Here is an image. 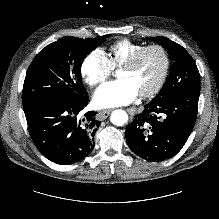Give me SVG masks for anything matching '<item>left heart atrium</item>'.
Segmentation results:
<instances>
[{
    "instance_id": "obj_1",
    "label": "left heart atrium",
    "mask_w": 219,
    "mask_h": 219,
    "mask_svg": "<svg viewBox=\"0 0 219 219\" xmlns=\"http://www.w3.org/2000/svg\"><path fill=\"white\" fill-rule=\"evenodd\" d=\"M138 95L128 80L119 79L100 86L94 94L93 102L99 108L123 106L133 102Z\"/></svg>"
}]
</instances>
